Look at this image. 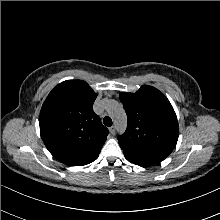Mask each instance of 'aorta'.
Here are the masks:
<instances>
[{"mask_svg":"<svg viewBox=\"0 0 220 220\" xmlns=\"http://www.w3.org/2000/svg\"><path fill=\"white\" fill-rule=\"evenodd\" d=\"M107 110L112 115L115 125L120 132L126 128V114L124 109L115 101H108L106 103Z\"/></svg>","mask_w":220,"mask_h":220,"instance_id":"aorta-1","label":"aorta"}]
</instances>
